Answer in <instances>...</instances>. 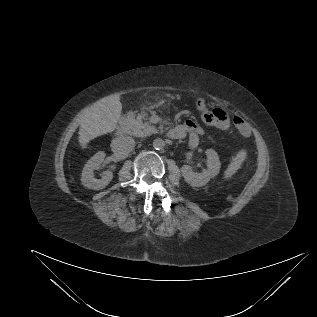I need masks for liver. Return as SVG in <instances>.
I'll use <instances>...</instances> for the list:
<instances>
[{
	"label": "liver",
	"mask_w": 317,
	"mask_h": 317,
	"mask_svg": "<svg viewBox=\"0 0 317 317\" xmlns=\"http://www.w3.org/2000/svg\"><path fill=\"white\" fill-rule=\"evenodd\" d=\"M121 111L122 104L117 94L104 97L85 109L78 132L81 147L86 148L92 139L114 131Z\"/></svg>",
	"instance_id": "obj_1"
}]
</instances>
